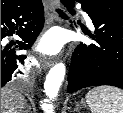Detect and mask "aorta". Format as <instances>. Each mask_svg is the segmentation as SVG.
<instances>
[{"instance_id":"aorta-1","label":"aorta","mask_w":123,"mask_h":113,"mask_svg":"<svg viewBox=\"0 0 123 113\" xmlns=\"http://www.w3.org/2000/svg\"><path fill=\"white\" fill-rule=\"evenodd\" d=\"M66 67L63 63L55 64L46 76L45 94L49 99H55L64 80Z\"/></svg>"}]
</instances>
